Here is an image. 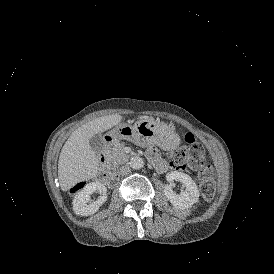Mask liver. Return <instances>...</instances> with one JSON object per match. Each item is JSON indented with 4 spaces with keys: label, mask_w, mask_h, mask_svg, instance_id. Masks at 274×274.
<instances>
[{
    "label": "liver",
    "mask_w": 274,
    "mask_h": 274,
    "mask_svg": "<svg viewBox=\"0 0 274 274\" xmlns=\"http://www.w3.org/2000/svg\"><path fill=\"white\" fill-rule=\"evenodd\" d=\"M121 120L122 116L119 114L106 115L95 118L72 132L62 147L58 161V179L63 191L96 177L99 158L89 141L94 135L112 128Z\"/></svg>",
    "instance_id": "liver-1"
}]
</instances>
